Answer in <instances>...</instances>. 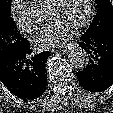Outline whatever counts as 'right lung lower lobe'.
I'll return each mask as SVG.
<instances>
[{"label": "right lung lower lobe", "instance_id": "obj_1", "mask_svg": "<svg viewBox=\"0 0 113 113\" xmlns=\"http://www.w3.org/2000/svg\"><path fill=\"white\" fill-rule=\"evenodd\" d=\"M30 53L27 40L0 62V80L11 93L23 100L37 99L47 86L45 65L50 52L44 51L35 57H31Z\"/></svg>", "mask_w": 113, "mask_h": 113}]
</instances>
